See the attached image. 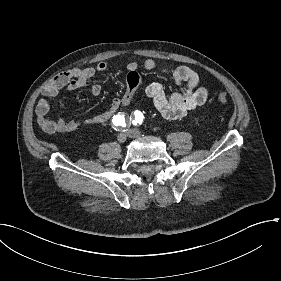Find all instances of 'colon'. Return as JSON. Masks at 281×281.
Instances as JSON below:
<instances>
[{"instance_id":"1","label":"colon","mask_w":281,"mask_h":281,"mask_svg":"<svg viewBox=\"0 0 281 281\" xmlns=\"http://www.w3.org/2000/svg\"><path fill=\"white\" fill-rule=\"evenodd\" d=\"M216 101L219 103V104H225L228 102V96L226 94H219L217 97H216Z\"/></svg>"}]
</instances>
